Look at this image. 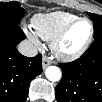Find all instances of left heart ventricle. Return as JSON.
I'll return each mask as SVG.
<instances>
[{
  "instance_id": "obj_1",
  "label": "left heart ventricle",
  "mask_w": 102,
  "mask_h": 102,
  "mask_svg": "<svg viewBox=\"0 0 102 102\" xmlns=\"http://www.w3.org/2000/svg\"><path fill=\"white\" fill-rule=\"evenodd\" d=\"M88 25L85 22H80L75 25L68 37L61 44V50L64 53H73L84 42Z\"/></svg>"
}]
</instances>
